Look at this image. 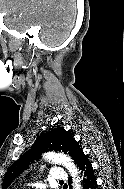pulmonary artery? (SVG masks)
Returning <instances> with one entry per match:
<instances>
[{
    "mask_svg": "<svg viewBox=\"0 0 124 189\" xmlns=\"http://www.w3.org/2000/svg\"><path fill=\"white\" fill-rule=\"evenodd\" d=\"M50 175L55 181H64L67 178L65 171L60 167L52 168Z\"/></svg>",
    "mask_w": 124,
    "mask_h": 189,
    "instance_id": "obj_1",
    "label": "pulmonary artery"
}]
</instances>
